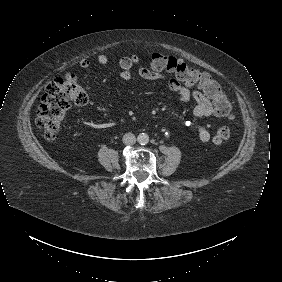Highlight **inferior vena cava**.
Wrapping results in <instances>:
<instances>
[{
  "mask_svg": "<svg viewBox=\"0 0 282 282\" xmlns=\"http://www.w3.org/2000/svg\"><path fill=\"white\" fill-rule=\"evenodd\" d=\"M122 142L125 145H133L136 142V137L133 133H126L122 137Z\"/></svg>",
  "mask_w": 282,
  "mask_h": 282,
  "instance_id": "obj_1",
  "label": "inferior vena cava"
}]
</instances>
